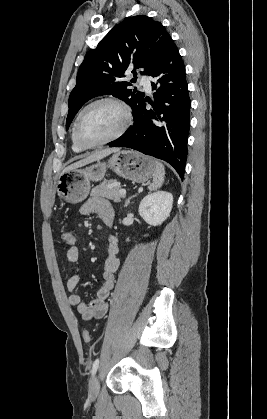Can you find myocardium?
I'll use <instances>...</instances> for the list:
<instances>
[{
  "mask_svg": "<svg viewBox=\"0 0 267 419\" xmlns=\"http://www.w3.org/2000/svg\"><path fill=\"white\" fill-rule=\"evenodd\" d=\"M100 103H111L116 105L117 107L120 108L122 115H123V121L120 125V127L109 137H107L106 139L99 141L97 143H93V144H87L85 142H83L79 136V123L80 120L84 114V112L89 109L90 107L96 105V104H100ZM132 122V110L130 108V106L122 99L118 98V97H114V96H104V97H100L97 99L92 100L91 102L87 103L78 113L75 122H74V126H73V136L75 141L78 143L79 146H81L84 149H92V148H96V147H100L103 146L105 144H108L116 139H118L119 137H121L126 130L128 129V127L130 126Z\"/></svg>",
  "mask_w": 267,
  "mask_h": 419,
  "instance_id": "1",
  "label": "myocardium"
}]
</instances>
